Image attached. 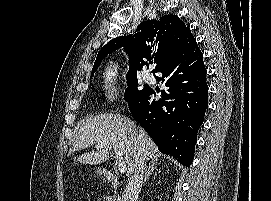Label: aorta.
I'll use <instances>...</instances> for the list:
<instances>
[{"label": "aorta", "instance_id": "762f6f07", "mask_svg": "<svg viewBox=\"0 0 271 201\" xmlns=\"http://www.w3.org/2000/svg\"><path fill=\"white\" fill-rule=\"evenodd\" d=\"M109 73H110V74H113V71L111 70V72H110V70H109Z\"/></svg>", "mask_w": 271, "mask_h": 201}]
</instances>
